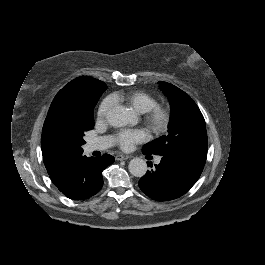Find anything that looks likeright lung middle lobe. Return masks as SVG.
I'll return each mask as SVG.
<instances>
[{
    "label": "right lung middle lobe",
    "instance_id": "obj_1",
    "mask_svg": "<svg viewBox=\"0 0 265 265\" xmlns=\"http://www.w3.org/2000/svg\"><path fill=\"white\" fill-rule=\"evenodd\" d=\"M107 89L105 83L81 89L70 96L57 119L52 134L53 145L64 155H82L84 133L94 128V107Z\"/></svg>",
    "mask_w": 265,
    "mask_h": 265
}]
</instances>
